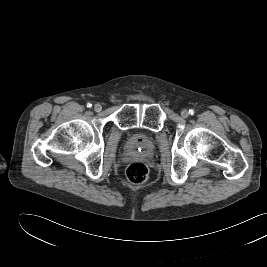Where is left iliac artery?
Listing matches in <instances>:
<instances>
[{
	"label": "left iliac artery",
	"mask_w": 267,
	"mask_h": 267,
	"mask_svg": "<svg viewBox=\"0 0 267 267\" xmlns=\"http://www.w3.org/2000/svg\"><path fill=\"white\" fill-rule=\"evenodd\" d=\"M189 114H190V115H193V114H194V110H193V109H190V110H189Z\"/></svg>",
	"instance_id": "44dca946"
}]
</instances>
